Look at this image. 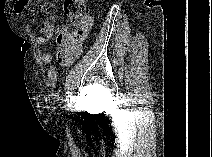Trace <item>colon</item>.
Returning a JSON list of instances; mask_svg holds the SVG:
<instances>
[{"mask_svg": "<svg viewBox=\"0 0 212 157\" xmlns=\"http://www.w3.org/2000/svg\"><path fill=\"white\" fill-rule=\"evenodd\" d=\"M63 11L70 23L79 27L86 13V3L83 0H65L63 3ZM67 35L71 37L79 36L77 31L69 32L66 35H61L59 40L64 41Z\"/></svg>", "mask_w": 212, "mask_h": 157, "instance_id": "1", "label": "colon"}]
</instances>
